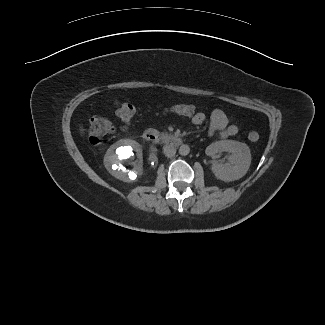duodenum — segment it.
I'll use <instances>...</instances> for the list:
<instances>
[{"instance_id":"1","label":"duodenum","mask_w":325,"mask_h":325,"mask_svg":"<svg viewBox=\"0 0 325 325\" xmlns=\"http://www.w3.org/2000/svg\"><path fill=\"white\" fill-rule=\"evenodd\" d=\"M143 138L146 142H157L162 139L170 147H181L184 145V142L180 136L168 135L161 138L156 131L151 129L144 132Z\"/></svg>"}]
</instances>
